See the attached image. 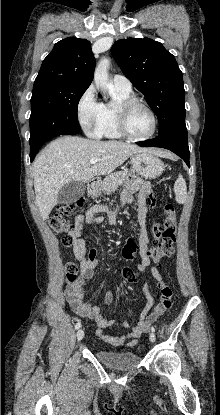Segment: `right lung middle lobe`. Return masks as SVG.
<instances>
[{
  "instance_id": "dd1d6c3e",
  "label": "right lung middle lobe",
  "mask_w": 220,
  "mask_h": 415,
  "mask_svg": "<svg viewBox=\"0 0 220 415\" xmlns=\"http://www.w3.org/2000/svg\"><path fill=\"white\" fill-rule=\"evenodd\" d=\"M88 87L62 82L34 83L29 119L30 151L55 136L80 130L77 107Z\"/></svg>"
}]
</instances>
